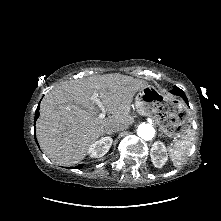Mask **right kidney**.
<instances>
[{
	"label": "right kidney",
	"instance_id": "obj_1",
	"mask_svg": "<svg viewBox=\"0 0 221 221\" xmlns=\"http://www.w3.org/2000/svg\"><path fill=\"white\" fill-rule=\"evenodd\" d=\"M112 145V139L110 137H104L94 142L88 149V153L92 158H99L104 156Z\"/></svg>",
	"mask_w": 221,
	"mask_h": 221
}]
</instances>
